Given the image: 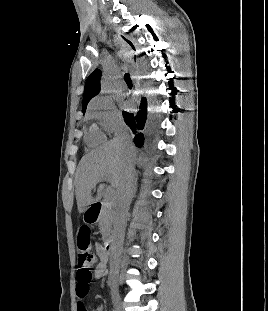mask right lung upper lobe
Masks as SVG:
<instances>
[{"mask_svg":"<svg viewBox=\"0 0 268 311\" xmlns=\"http://www.w3.org/2000/svg\"><path fill=\"white\" fill-rule=\"evenodd\" d=\"M124 40L133 48V44L131 41L127 40L123 37ZM100 78H101V71L99 69L94 70L90 76L88 77L85 87H84V94H83V111L87 107L88 102L99 93L100 91Z\"/></svg>","mask_w":268,"mask_h":311,"instance_id":"1","label":"right lung upper lobe"}]
</instances>
